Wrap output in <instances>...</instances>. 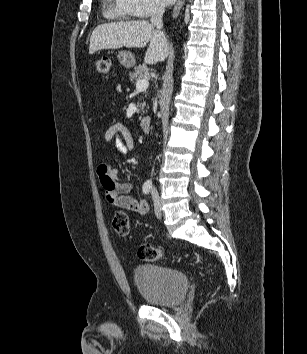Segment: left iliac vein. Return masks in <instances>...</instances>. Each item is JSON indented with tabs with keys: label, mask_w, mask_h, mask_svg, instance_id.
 Segmentation results:
<instances>
[{
	"label": "left iliac vein",
	"mask_w": 307,
	"mask_h": 354,
	"mask_svg": "<svg viewBox=\"0 0 307 354\" xmlns=\"http://www.w3.org/2000/svg\"><path fill=\"white\" fill-rule=\"evenodd\" d=\"M154 210L157 218H161L162 216V209H161V203L158 198L154 199Z\"/></svg>",
	"instance_id": "left-iliac-vein-1"
}]
</instances>
